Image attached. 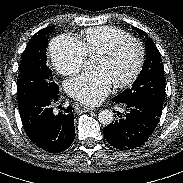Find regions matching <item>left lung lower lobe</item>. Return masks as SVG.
Segmentation results:
<instances>
[{"label":"left lung lower lobe","mask_w":183,"mask_h":183,"mask_svg":"<svg viewBox=\"0 0 183 183\" xmlns=\"http://www.w3.org/2000/svg\"><path fill=\"white\" fill-rule=\"evenodd\" d=\"M113 101L126 107L127 113L104 128L106 140L115 148L131 150L144 144L152 135L161 112L147 104L134 100Z\"/></svg>","instance_id":"0a47b994"}]
</instances>
